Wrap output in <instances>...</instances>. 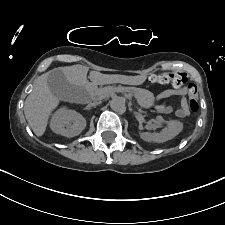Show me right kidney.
Segmentation results:
<instances>
[{
  "label": "right kidney",
  "instance_id": "ca27d5eb",
  "mask_svg": "<svg viewBox=\"0 0 225 225\" xmlns=\"http://www.w3.org/2000/svg\"><path fill=\"white\" fill-rule=\"evenodd\" d=\"M85 127L86 120L80 113L64 107L53 114L50 122L51 130L65 137L77 136Z\"/></svg>",
  "mask_w": 225,
  "mask_h": 225
}]
</instances>
